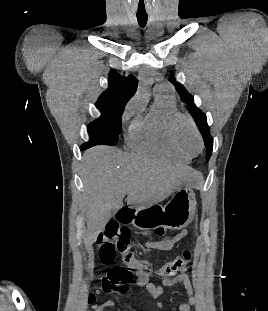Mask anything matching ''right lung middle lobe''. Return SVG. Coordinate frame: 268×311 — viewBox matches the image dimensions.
I'll use <instances>...</instances> for the list:
<instances>
[{
	"label": "right lung middle lobe",
	"instance_id": "obj_1",
	"mask_svg": "<svg viewBox=\"0 0 268 311\" xmlns=\"http://www.w3.org/2000/svg\"><path fill=\"white\" fill-rule=\"evenodd\" d=\"M95 106L99 109L101 116L88 125L90 139L81 146L82 150L95 145L115 146L122 131L123 110L98 104Z\"/></svg>",
	"mask_w": 268,
	"mask_h": 311
}]
</instances>
